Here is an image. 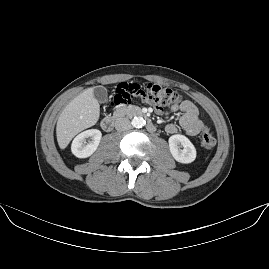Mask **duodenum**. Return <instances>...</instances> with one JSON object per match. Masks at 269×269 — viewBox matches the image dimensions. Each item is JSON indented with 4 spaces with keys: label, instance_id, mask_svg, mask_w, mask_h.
<instances>
[{
    "label": "duodenum",
    "instance_id": "1",
    "mask_svg": "<svg viewBox=\"0 0 269 269\" xmlns=\"http://www.w3.org/2000/svg\"><path fill=\"white\" fill-rule=\"evenodd\" d=\"M123 113L129 114V115L140 116L144 118L147 117L146 113L140 110L139 108H134V107L127 108L115 114H110V115L105 116L101 120L102 129L107 132L111 131L115 125L117 118ZM146 128L149 132H154L156 130V125L150 119L146 118Z\"/></svg>",
    "mask_w": 269,
    "mask_h": 269
}]
</instances>
